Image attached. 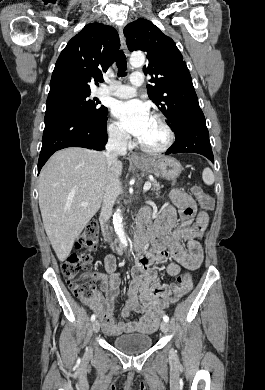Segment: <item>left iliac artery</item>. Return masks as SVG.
<instances>
[{
  "mask_svg": "<svg viewBox=\"0 0 265 390\" xmlns=\"http://www.w3.org/2000/svg\"><path fill=\"white\" fill-rule=\"evenodd\" d=\"M163 321H164V322H168V321H169V317H168L167 315H164V316H163Z\"/></svg>",
  "mask_w": 265,
  "mask_h": 390,
  "instance_id": "left-iliac-artery-1",
  "label": "left iliac artery"
}]
</instances>
